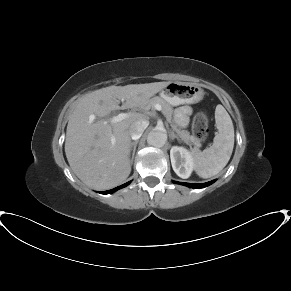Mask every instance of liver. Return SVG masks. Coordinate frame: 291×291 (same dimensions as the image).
I'll use <instances>...</instances> for the list:
<instances>
[{
  "instance_id": "obj_1",
  "label": "liver",
  "mask_w": 291,
  "mask_h": 291,
  "mask_svg": "<svg viewBox=\"0 0 291 291\" xmlns=\"http://www.w3.org/2000/svg\"><path fill=\"white\" fill-rule=\"evenodd\" d=\"M169 83L109 86L79 100L68 121L65 154L72 171L83 183L105 190L127 179L131 172L129 127L138 120H146V116L134 112L116 123L109 116L118 109L143 108Z\"/></svg>"
}]
</instances>
